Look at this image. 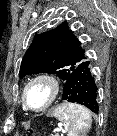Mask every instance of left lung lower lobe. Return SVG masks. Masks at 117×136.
<instances>
[{
	"mask_svg": "<svg viewBox=\"0 0 117 136\" xmlns=\"http://www.w3.org/2000/svg\"><path fill=\"white\" fill-rule=\"evenodd\" d=\"M97 90L90 62L86 58L75 67L65 81L63 100L84 105L98 113Z\"/></svg>",
	"mask_w": 117,
	"mask_h": 136,
	"instance_id": "1",
	"label": "left lung lower lobe"
}]
</instances>
